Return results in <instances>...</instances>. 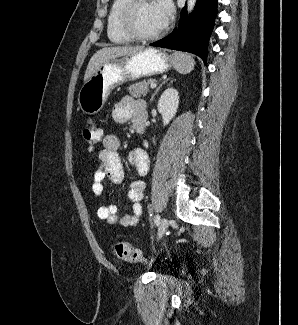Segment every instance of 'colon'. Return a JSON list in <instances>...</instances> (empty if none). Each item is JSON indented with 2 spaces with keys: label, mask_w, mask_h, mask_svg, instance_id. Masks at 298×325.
I'll list each match as a JSON object with an SVG mask.
<instances>
[{
  "label": "colon",
  "mask_w": 298,
  "mask_h": 325,
  "mask_svg": "<svg viewBox=\"0 0 298 325\" xmlns=\"http://www.w3.org/2000/svg\"><path fill=\"white\" fill-rule=\"evenodd\" d=\"M103 132L93 121H88L83 129V140L90 151H93L99 143ZM114 255L123 261L139 262L142 260L138 249L125 241H116L113 243Z\"/></svg>",
  "instance_id": "1"
}]
</instances>
